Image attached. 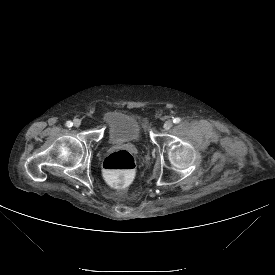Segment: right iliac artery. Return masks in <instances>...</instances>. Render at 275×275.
<instances>
[{"mask_svg": "<svg viewBox=\"0 0 275 275\" xmlns=\"http://www.w3.org/2000/svg\"><path fill=\"white\" fill-rule=\"evenodd\" d=\"M72 125H73V123H72L71 121H67V122H66V126H67V127H72Z\"/></svg>", "mask_w": 275, "mask_h": 275, "instance_id": "1", "label": "right iliac artery"}]
</instances>
